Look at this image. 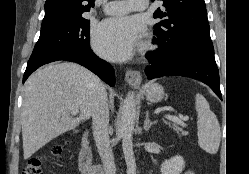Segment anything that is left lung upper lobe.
Returning <instances> with one entry per match:
<instances>
[{
    "label": "left lung upper lobe",
    "instance_id": "5c2ea615",
    "mask_svg": "<svg viewBox=\"0 0 249 174\" xmlns=\"http://www.w3.org/2000/svg\"><path fill=\"white\" fill-rule=\"evenodd\" d=\"M162 1L164 9L158 8L153 14L154 18L163 19L154 25L153 41L164 51L178 54L212 45L204 0Z\"/></svg>",
    "mask_w": 249,
    "mask_h": 174
}]
</instances>
